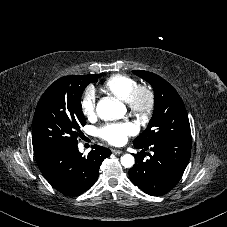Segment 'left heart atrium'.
Listing matches in <instances>:
<instances>
[{"mask_svg": "<svg viewBox=\"0 0 227 227\" xmlns=\"http://www.w3.org/2000/svg\"><path fill=\"white\" fill-rule=\"evenodd\" d=\"M134 127L129 123L108 124L100 129L102 139L112 145H123L129 136L135 134Z\"/></svg>", "mask_w": 227, "mask_h": 227, "instance_id": "left-heart-atrium-1", "label": "left heart atrium"}]
</instances>
